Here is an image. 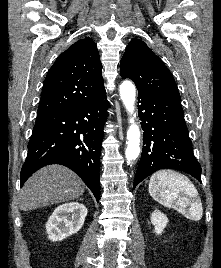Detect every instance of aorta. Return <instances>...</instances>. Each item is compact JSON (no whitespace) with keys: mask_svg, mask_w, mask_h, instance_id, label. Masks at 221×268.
<instances>
[{"mask_svg":"<svg viewBox=\"0 0 221 268\" xmlns=\"http://www.w3.org/2000/svg\"><path fill=\"white\" fill-rule=\"evenodd\" d=\"M121 100L130 115L129 123L130 126L127 131V148H126V159L127 163H131L138 158L140 153V130L139 126L135 122V98L136 90L134 84L125 80L122 82L119 88Z\"/></svg>","mask_w":221,"mask_h":268,"instance_id":"obj_1","label":"aorta"}]
</instances>
